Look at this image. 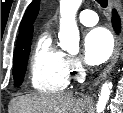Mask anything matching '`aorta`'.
Returning a JSON list of instances; mask_svg holds the SVG:
<instances>
[{"mask_svg": "<svg viewBox=\"0 0 123 113\" xmlns=\"http://www.w3.org/2000/svg\"><path fill=\"white\" fill-rule=\"evenodd\" d=\"M82 0H60V29L58 38L62 50L70 54L79 52V30L76 24V13ZM112 89L111 82H105L101 87L99 100L96 105L97 113H103Z\"/></svg>", "mask_w": 123, "mask_h": 113, "instance_id": "obj_1", "label": "aorta"}]
</instances>
